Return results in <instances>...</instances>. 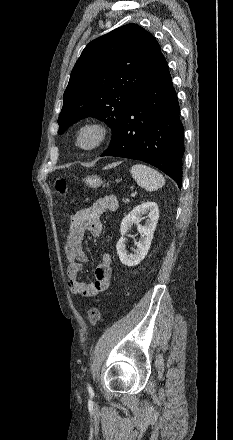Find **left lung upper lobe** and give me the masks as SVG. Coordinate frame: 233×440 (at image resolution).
Listing matches in <instances>:
<instances>
[{"label": "left lung upper lobe", "instance_id": "obj_1", "mask_svg": "<svg viewBox=\"0 0 233 440\" xmlns=\"http://www.w3.org/2000/svg\"><path fill=\"white\" fill-rule=\"evenodd\" d=\"M161 55L156 39L136 24L91 41L77 60L64 92L58 133L92 116L111 127L113 139L131 100Z\"/></svg>", "mask_w": 233, "mask_h": 440}]
</instances>
